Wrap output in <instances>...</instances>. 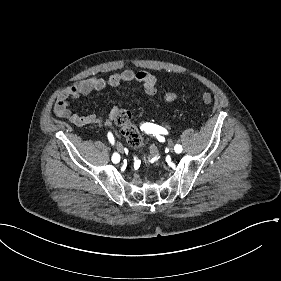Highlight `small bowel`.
<instances>
[{
    "label": "small bowel",
    "mask_w": 281,
    "mask_h": 281,
    "mask_svg": "<svg viewBox=\"0 0 281 281\" xmlns=\"http://www.w3.org/2000/svg\"><path fill=\"white\" fill-rule=\"evenodd\" d=\"M156 82L155 74L145 70L135 71L129 68L113 73L107 78L90 77L83 79L59 93L54 112L58 117L67 119L71 124L78 127L96 124L111 125L116 116L120 112H126V110L114 106L107 116L96 113H76L71 110L70 102L79 97H88L93 92L104 90L107 87H116L121 83H140L144 93L153 96L156 94ZM176 98L174 92H168L165 95L167 102H173Z\"/></svg>",
    "instance_id": "c3829d8e"
}]
</instances>
